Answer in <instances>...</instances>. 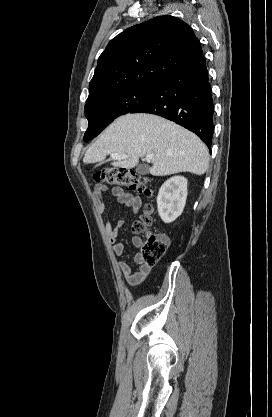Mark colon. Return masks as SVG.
<instances>
[{
	"label": "colon",
	"mask_w": 272,
	"mask_h": 417,
	"mask_svg": "<svg viewBox=\"0 0 272 417\" xmlns=\"http://www.w3.org/2000/svg\"><path fill=\"white\" fill-rule=\"evenodd\" d=\"M93 177L98 183L129 188L145 195L151 194L149 180L129 169L116 167L104 168L97 171ZM151 212V207H148L145 214L133 226V230L136 233L144 234L141 261L147 266L155 265L169 247V238L167 235L152 234L147 231V228L152 223Z\"/></svg>",
	"instance_id": "colon-1"
}]
</instances>
